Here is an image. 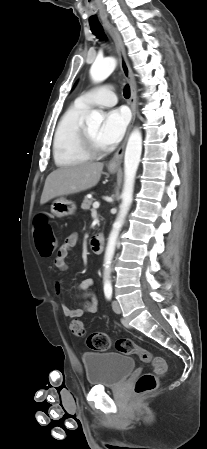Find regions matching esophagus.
<instances>
[{
  "mask_svg": "<svg viewBox=\"0 0 207 449\" xmlns=\"http://www.w3.org/2000/svg\"><path fill=\"white\" fill-rule=\"evenodd\" d=\"M105 28L107 29V31L111 35L112 39L114 40L116 51H117V54H118V57H119V62H120V67H121L122 73H123L125 79L128 81V83L130 85V88H131V96H130L129 104H130L131 111H132V120H131V123L129 125L128 131H127V135H126V138H125L123 144L119 147V149L116 151V153L114 154V156L112 157V159L108 163V167L109 168H117L121 164V161H122V158H123V154H124V148H125L126 140H127V137L129 135V132H130L131 127H132V124H133L134 119H135L137 85H136V81H135L133 72H132V70L130 68V65H129L127 57H126L125 46L123 44L122 38H121L118 30L114 26H112L111 24H106Z\"/></svg>",
  "mask_w": 207,
  "mask_h": 449,
  "instance_id": "obj_1",
  "label": "esophagus"
}]
</instances>
